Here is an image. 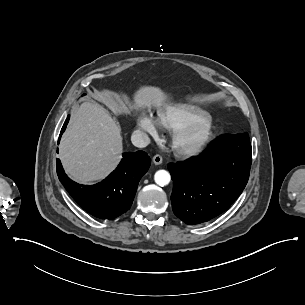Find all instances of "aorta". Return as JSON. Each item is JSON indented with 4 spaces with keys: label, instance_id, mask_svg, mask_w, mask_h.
<instances>
[{
    "label": "aorta",
    "instance_id": "762f6f07",
    "mask_svg": "<svg viewBox=\"0 0 305 305\" xmlns=\"http://www.w3.org/2000/svg\"><path fill=\"white\" fill-rule=\"evenodd\" d=\"M154 180L157 185L163 187L169 184L171 176L166 170H158L154 175Z\"/></svg>",
    "mask_w": 305,
    "mask_h": 305
}]
</instances>
